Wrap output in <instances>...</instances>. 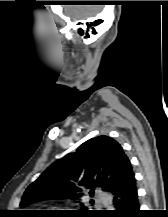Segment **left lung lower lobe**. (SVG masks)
<instances>
[{
    "label": "left lung lower lobe",
    "mask_w": 168,
    "mask_h": 217,
    "mask_svg": "<svg viewBox=\"0 0 168 217\" xmlns=\"http://www.w3.org/2000/svg\"><path fill=\"white\" fill-rule=\"evenodd\" d=\"M113 211L103 214L113 217H138L139 202L134 173L128 181L118 190L112 193Z\"/></svg>",
    "instance_id": "left-lung-lower-lobe-1"
}]
</instances>
